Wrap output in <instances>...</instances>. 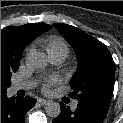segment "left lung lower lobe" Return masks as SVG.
<instances>
[{"label":"left lung lower lobe","mask_w":123,"mask_h":123,"mask_svg":"<svg viewBox=\"0 0 123 123\" xmlns=\"http://www.w3.org/2000/svg\"><path fill=\"white\" fill-rule=\"evenodd\" d=\"M106 109L79 102L75 111L61 103V113L53 120V123H102Z\"/></svg>","instance_id":"obj_1"}]
</instances>
